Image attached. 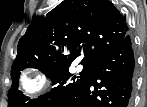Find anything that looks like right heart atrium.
Here are the masks:
<instances>
[{
	"label": "right heart atrium",
	"instance_id": "right-heart-atrium-1",
	"mask_svg": "<svg viewBox=\"0 0 147 107\" xmlns=\"http://www.w3.org/2000/svg\"><path fill=\"white\" fill-rule=\"evenodd\" d=\"M49 82L50 79L44 80L40 77H25L23 79V86L27 93L35 94L42 88H44L46 85H48Z\"/></svg>",
	"mask_w": 147,
	"mask_h": 107
}]
</instances>
